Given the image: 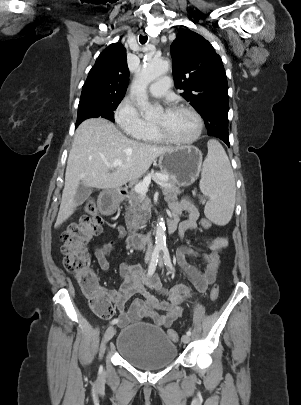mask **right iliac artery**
Wrapping results in <instances>:
<instances>
[{"instance_id": "right-iliac-artery-1", "label": "right iliac artery", "mask_w": 301, "mask_h": 405, "mask_svg": "<svg viewBox=\"0 0 301 405\" xmlns=\"http://www.w3.org/2000/svg\"><path fill=\"white\" fill-rule=\"evenodd\" d=\"M160 251H161L160 246H156L154 248V251H153L152 257H151V262H150V265H149V268H148V276H151L155 272ZM117 323H118V319H114V320L111 321V324H117Z\"/></svg>"}]
</instances>
